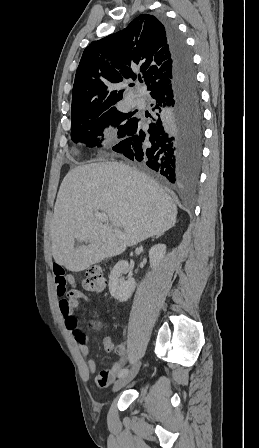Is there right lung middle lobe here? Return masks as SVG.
Returning a JSON list of instances; mask_svg holds the SVG:
<instances>
[{"label":"right lung middle lobe","mask_w":259,"mask_h":448,"mask_svg":"<svg viewBox=\"0 0 259 448\" xmlns=\"http://www.w3.org/2000/svg\"><path fill=\"white\" fill-rule=\"evenodd\" d=\"M134 113H123L114 106H101L71 114V138L86 143L89 147L101 146L98 136L103 135L106 126L118 129V139L123 138L128 126L134 121Z\"/></svg>","instance_id":"1"}]
</instances>
